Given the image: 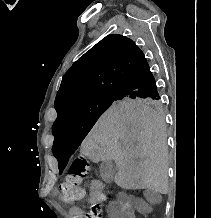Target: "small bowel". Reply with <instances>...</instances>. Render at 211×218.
Instances as JSON below:
<instances>
[{
	"label": "small bowel",
	"instance_id": "1",
	"mask_svg": "<svg viewBox=\"0 0 211 218\" xmlns=\"http://www.w3.org/2000/svg\"><path fill=\"white\" fill-rule=\"evenodd\" d=\"M86 188L89 191V202L91 204H102L106 200L104 195V184L98 180H90L86 183ZM52 195L57 197L59 192L57 189L51 191ZM73 218H83V210L79 207H73L71 209ZM111 214L115 218H136V211L131 206L121 205L111 208Z\"/></svg>",
	"mask_w": 211,
	"mask_h": 218
}]
</instances>
